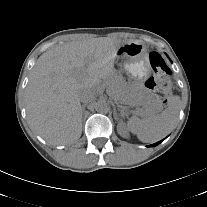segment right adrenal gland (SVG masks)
Returning a JSON list of instances; mask_svg holds the SVG:
<instances>
[{
	"label": "right adrenal gland",
	"instance_id": "1",
	"mask_svg": "<svg viewBox=\"0 0 207 207\" xmlns=\"http://www.w3.org/2000/svg\"><path fill=\"white\" fill-rule=\"evenodd\" d=\"M85 106H86V104H83V105H82V113L85 112Z\"/></svg>",
	"mask_w": 207,
	"mask_h": 207
}]
</instances>
